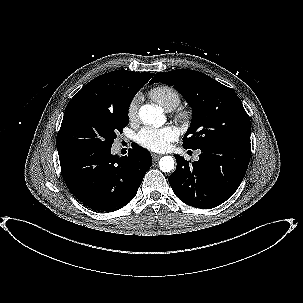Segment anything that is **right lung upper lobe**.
Wrapping results in <instances>:
<instances>
[{"mask_svg":"<svg viewBox=\"0 0 303 303\" xmlns=\"http://www.w3.org/2000/svg\"><path fill=\"white\" fill-rule=\"evenodd\" d=\"M153 75L149 72L139 73L127 70L100 75L86 84L68 104L75 101H87L113 112L128 110L135 94Z\"/></svg>","mask_w":303,"mask_h":303,"instance_id":"right-lung-upper-lobe-1","label":"right lung upper lobe"}]
</instances>
